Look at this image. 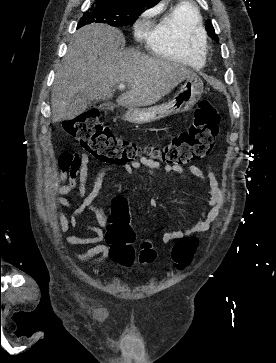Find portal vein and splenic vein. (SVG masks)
Wrapping results in <instances>:
<instances>
[{
    "label": "portal vein and splenic vein",
    "mask_w": 276,
    "mask_h": 363,
    "mask_svg": "<svg viewBox=\"0 0 276 363\" xmlns=\"http://www.w3.org/2000/svg\"><path fill=\"white\" fill-rule=\"evenodd\" d=\"M125 88V85L124 84H121L120 86H119V89H124Z\"/></svg>",
    "instance_id": "1"
}]
</instances>
